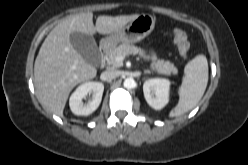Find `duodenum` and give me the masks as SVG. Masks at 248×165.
<instances>
[{"instance_id":"obj_1","label":"duodenum","mask_w":248,"mask_h":165,"mask_svg":"<svg viewBox=\"0 0 248 165\" xmlns=\"http://www.w3.org/2000/svg\"><path fill=\"white\" fill-rule=\"evenodd\" d=\"M110 50V45L109 43H104L101 47H100V50H99V55H100V65L101 67H103L106 63V57H107V54Z\"/></svg>"}]
</instances>
